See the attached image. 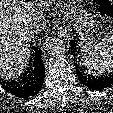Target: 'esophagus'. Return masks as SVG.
<instances>
[{
	"instance_id": "1",
	"label": "esophagus",
	"mask_w": 113,
	"mask_h": 113,
	"mask_svg": "<svg viewBox=\"0 0 113 113\" xmlns=\"http://www.w3.org/2000/svg\"><path fill=\"white\" fill-rule=\"evenodd\" d=\"M57 34L60 38L64 39L65 41L71 40V35L65 27H59L57 29Z\"/></svg>"
}]
</instances>
